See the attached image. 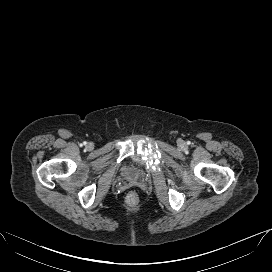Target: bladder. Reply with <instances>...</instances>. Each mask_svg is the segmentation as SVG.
<instances>
[{"label":"bladder","instance_id":"bladder-1","mask_svg":"<svg viewBox=\"0 0 272 272\" xmlns=\"http://www.w3.org/2000/svg\"><path fill=\"white\" fill-rule=\"evenodd\" d=\"M142 175L143 169L134 163L126 164L122 169V176L128 181H136L140 179Z\"/></svg>","mask_w":272,"mask_h":272}]
</instances>
